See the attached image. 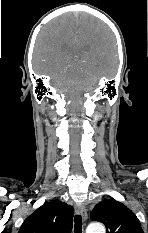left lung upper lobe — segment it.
I'll return each instance as SVG.
<instances>
[{"label": "left lung upper lobe", "mask_w": 148, "mask_h": 233, "mask_svg": "<svg viewBox=\"0 0 148 233\" xmlns=\"http://www.w3.org/2000/svg\"><path fill=\"white\" fill-rule=\"evenodd\" d=\"M91 219L104 223L107 233H144L136 215L114 199L99 202L91 212Z\"/></svg>", "instance_id": "obj_1"}]
</instances>
